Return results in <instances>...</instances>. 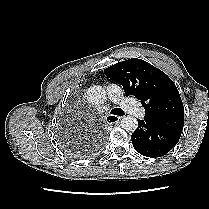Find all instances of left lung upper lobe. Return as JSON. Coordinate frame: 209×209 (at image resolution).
<instances>
[{
  "mask_svg": "<svg viewBox=\"0 0 209 209\" xmlns=\"http://www.w3.org/2000/svg\"><path fill=\"white\" fill-rule=\"evenodd\" d=\"M112 81L123 86L145 108V117L163 127L183 130L184 107L173 81L148 62L132 58L104 69Z\"/></svg>",
  "mask_w": 209,
  "mask_h": 209,
  "instance_id": "1",
  "label": "left lung upper lobe"
}]
</instances>
